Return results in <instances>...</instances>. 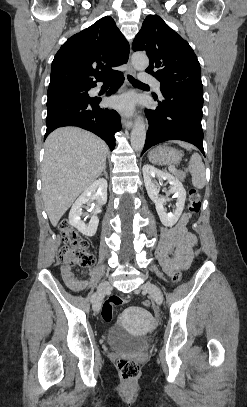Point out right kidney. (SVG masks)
I'll return each mask as SVG.
<instances>
[{
  "mask_svg": "<svg viewBox=\"0 0 247 407\" xmlns=\"http://www.w3.org/2000/svg\"><path fill=\"white\" fill-rule=\"evenodd\" d=\"M96 201L95 211L91 216L89 223L81 220L83 204H90ZM107 202V181L105 179H98L92 183L75 201L70 213L69 224L75 227L83 235L92 237L96 234L99 224L97 216L102 205Z\"/></svg>",
  "mask_w": 247,
  "mask_h": 407,
  "instance_id": "ca27d5eb",
  "label": "right kidney"
}]
</instances>
